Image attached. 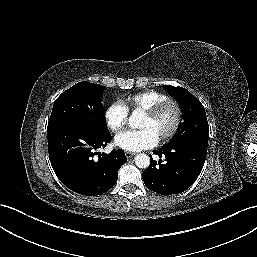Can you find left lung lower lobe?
<instances>
[{"instance_id":"1","label":"left lung lower lobe","mask_w":257,"mask_h":257,"mask_svg":"<svg viewBox=\"0 0 257 257\" xmlns=\"http://www.w3.org/2000/svg\"><path fill=\"white\" fill-rule=\"evenodd\" d=\"M154 154L162 160H151L150 166L142 173L145 185L162 195L178 194L187 190L198 178L203 168L207 145L184 143L165 146Z\"/></svg>"}]
</instances>
